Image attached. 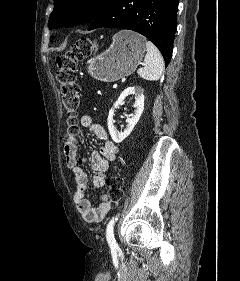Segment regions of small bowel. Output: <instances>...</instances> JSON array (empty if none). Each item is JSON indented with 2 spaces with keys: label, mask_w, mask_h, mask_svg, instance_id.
<instances>
[{
  "label": "small bowel",
  "mask_w": 240,
  "mask_h": 281,
  "mask_svg": "<svg viewBox=\"0 0 240 281\" xmlns=\"http://www.w3.org/2000/svg\"><path fill=\"white\" fill-rule=\"evenodd\" d=\"M80 124L82 128H89L92 133L102 141V146L99 151L92 152L89 160L91 168L95 172L92 184L94 188L102 189L105 184V174L110 168V163L116 159L118 147L109 139L105 128L100 124L94 123L90 115H83L80 118ZM81 132L82 130L78 131L75 143L64 145V153L67 167L73 174L76 182L74 202L86 222L98 223L105 218L111 205L109 203L108 195L105 193L101 195V202L98 205H93L90 199L86 196L88 176L79 165L77 149V138L80 136Z\"/></svg>",
  "instance_id": "small-bowel-1"
}]
</instances>
